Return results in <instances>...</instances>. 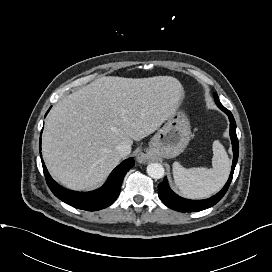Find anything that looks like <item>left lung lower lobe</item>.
Returning a JSON list of instances; mask_svg holds the SVG:
<instances>
[{"mask_svg": "<svg viewBox=\"0 0 272 272\" xmlns=\"http://www.w3.org/2000/svg\"><path fill=\"white\" fill-rule=\"evenodd\" d=\"M215 102L217 104V106L224 111L230 120V137H231V141H232V147H233V163H232V168H231V173L229 176V179L227 181V183L225 184V186L223 187V189L218 192L215 196L209 198V199H205V200H188V199H184L180 196H178L177 194H175L169 187L168 185V180L165 177L163 182H161L158 185V195L159 198L163 201V203L176 211L179 212H194V211H201L204 209H207L213 205H215L216 203H218L222 197L225 195L226 191L228 190V187L231 183L232 180V176L234 173V169L238 160V153H239V144H238V139H237V135H236V122L234 120V117L232 115V113L227 110L218 99H215Z\"/></svg>", "mask_w": 272, "mask_h": 272, "instance_id": "0a47b994", "label": "left lung lower lobe"}]
</instances>
